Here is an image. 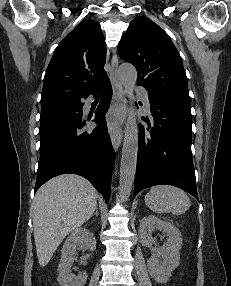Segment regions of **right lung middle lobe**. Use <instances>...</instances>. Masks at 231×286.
<instances>
[{"instance_id": "obj_1", "label": "right lung middle lobe", "mask_w": 231, "mask_h": 286, "mask_svg": "<svg viewBox=\"0 0 231 286\" xmlns=\"http://www.w3.org/2000/svg\"><path fill=\"white\" fill-rule=\"evenodd\" d=\"M71 112V107L68 104L42 108L40 115V123L47 122L49 120L66 115Z\"/></svg>"}]
</instances>
